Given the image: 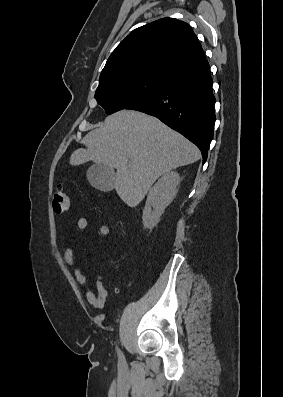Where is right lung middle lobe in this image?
Returning <instances> with one entry per match:
<instances>
[{
	"label": "right lung middle lobe",
	"mask_w": 283,
	"mask_h": 397,
	"mask_svg": "<svg viewBox=\"0 0 283 397\" xmlns=\"http://www.w3.org/2000/svg\"><path fill=\"white\" fill-rule=\"evenodd\" d=\"M166 82L165 79L145 74L115 76L99 80L95 98L107 114H112L126 109Z\"/></svg>",
	"instance_id": "dd1d6c3e"
}]
</instances>
